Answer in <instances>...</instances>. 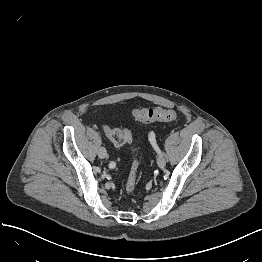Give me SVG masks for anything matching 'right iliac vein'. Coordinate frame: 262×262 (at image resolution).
<instances>
[{"label":"right iliac vein","instance_id":"63e3f726","mask_svg":"<svg viewBox=\"0 0 262 262\" xmlns=\"http://www.w3.org/2000/svg\"><path fill=\"white\" fill-rule=\"evenodd\" d=\"M98 156L99 158L101 159H104L106 156H107V151L104 147H101L99 150H98Z\"/></svg>","mask_w":262,"mask_h":262}]
</instances>
